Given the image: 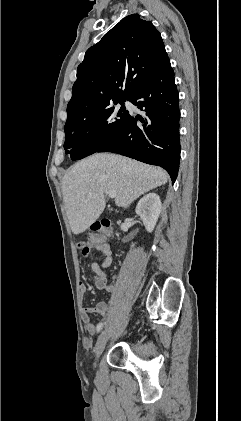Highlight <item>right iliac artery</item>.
<instances>
[{
    "label": "right iliac artery",
    "instance_id": "obj_1",
    "mask_svg": "<svg viewBox=\"0 0 241 421\" xmlns=\"http://www.w3.org/2000/svg\"><path fill=\"white\" fill-rule=\"evenodd\" d=\"M104 324L103 323H99L97 326V332H100L103 328Z\"/></svg>",
    "mask_w": 241,
    "mask_h": 421
}]
</instances>
